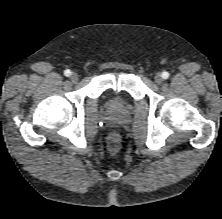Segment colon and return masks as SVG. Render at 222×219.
I'll return each mask as SVG.
<instances>
[{
	"label": "colon",
	"mask_w": 222,
	"mask_h": 219,
	"mask_svg": "<svg viewBox=\"0 0 222 219\" xmlns=\"http://www.w3.org/2000/svg\"><path fill=\"white\" fill-rule=\"evenodd\" d=\"M121 137L119 133L112 132L107 137V148L110 153H117L120 150Z\"/></svg>",
	"instance_id": "colon-1"
}]
</instances>
